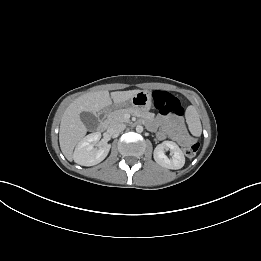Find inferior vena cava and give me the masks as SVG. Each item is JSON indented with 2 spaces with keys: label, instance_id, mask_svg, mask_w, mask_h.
<instances>
[{
  "label": "inferior vena cava",
  "instance_id": "1",
  "mask_svg": "<svg viewBox=\"0 0 261 261\" xmlns=\"http://www.w3.org/2000/svg\"><path fill=\"white\" fill-rule=\"evenodd\" d=\"M126 128V125L123 124V123H115L113 125H111L109 128H108V133L109 134H117V133H120L122 132L124 129Z\"/></svg>",
  "mask_w": 261,
  "mask_h": 261
}]
</instances>
